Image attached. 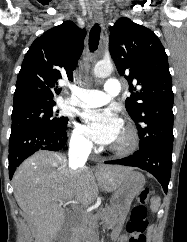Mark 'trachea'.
<instances>
[{
	"label": "trachea",
	"instance_id": "3493384b",
	"mask_svg": "<svg viewBox=\"0 0 187 242\" xmlns=\"http://www.w3.org/2000/svg\"><path fill=\"white\" fill-rule=\"evenodd\" d=\"M100 26L98 24H95L89 34V49L91 52H94L97 50L99 45V39H100Z\"/></svg>",
	"mask_w": 187,
	"mask_h": 242
}]
</instances>
